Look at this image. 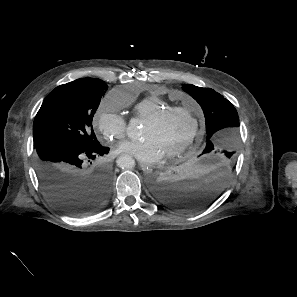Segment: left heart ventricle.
<instances>
[{
    "label": "left heart ventricle",
    "instance_id": "1",
    "mask_svg": "<svg viewBox=\"0 0 297 297\" xmlns=\"http://www.w3.org/2000/svg\"><path fill=\"white\" fill-rule=\"evenodd\" d=\"M192 127L193 123L187 115L176 113L156 124L145 121L141 137L152 138L165 154L180 146L190 135Z\"/></svg>",
    "mask_w": 297,
    "mask_h": 297
}]
</instances>
